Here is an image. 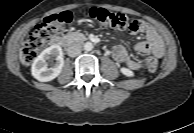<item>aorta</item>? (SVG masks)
Instances as JSON below:
<instances>
[{
	"mask_svg": "<svg viewBox=\"0 0 194 133\" xmlns=\"http://www.w3.org/2000/svg\"><path fill=\"white\" fill-rule=\"evenodd\" d=\"M84 49H85L86 51H91V50L93 49V44H92L91 42H86V43L84 44Z\"/></svg>",
	"mask_w": 194,
	"mask_h": 133,
	"instance_id": "aorta-1",
	"label": "aorta"
}]
</instances>
